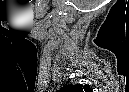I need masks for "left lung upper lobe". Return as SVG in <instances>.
Here are the masks:
<instances>
[{
	"mask_svg": "<svg viewBox=\"0 0 129 92\" xmlns=\"http://www.w3.org/2000/svg\"><path fill=\"white\" fill-rule=\"evenodd\" d=\"M90 92L91 90L87 86H82L81 84L78 85H69L63 87L60 92Z\"/></svg>",
	"mask_w": 129,
	"mask_h": 92,
	"instance_id": "5c2ea615",
	"label": "left lung upper lobe"
}]
</instances>
